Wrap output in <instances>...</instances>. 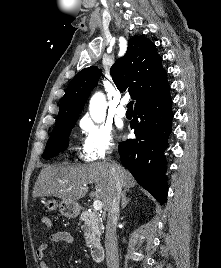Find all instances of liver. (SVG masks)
Instances as JSON below:
<instances>
[{
	"label": "liver",
	"instance_id": "6515ba94",
	"mask_svg": "<svg viewBox=\"0 0 221 268\" xmlns=\"http://www.w3.org/2000/svg\"><path fill=\"white\" fill-rule=\"evenodd\" d=\"M121 185L125 190L136 185L132 175L124 167L117 164ZM111 164L96 162L82 166L44 167L34 186L33 197L54 196L67 201H76L88 193V184H95V191L90 197L102 201L105 210L109 206L111 192Z\"/></svg>",
	"mask_w": 221,
	"mask_h": 268
}]
</instances>
